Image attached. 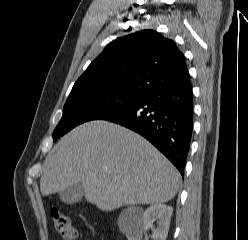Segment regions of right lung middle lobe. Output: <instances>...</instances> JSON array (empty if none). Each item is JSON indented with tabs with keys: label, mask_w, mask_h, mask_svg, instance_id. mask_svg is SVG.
<instances>
[{
	"label": "right lung middle lobe",
	"mask_w": 248,
	"mask_h": 240,
	"mask_svg": "<svg viewBox=\"0 0 248 240\" xmlns=\"http://www.w3.org/2000/svg\"><path fill=\"white\" fill-rule=\"evenodd\" d=\"M143 96L112 88H82L72 90L63 108V115L53 133V140L75 126L104 119L133 105Z\"/></svg>",
	"instance_id": "1"
}]
</instances>
